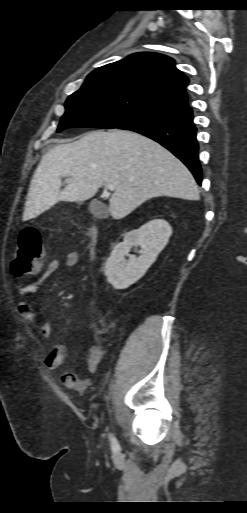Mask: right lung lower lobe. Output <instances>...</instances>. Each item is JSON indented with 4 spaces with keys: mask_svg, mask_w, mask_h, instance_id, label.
Returning <instances> with one entry per match:
<instances>
[{
    "mask_svg": "<svg viewBox=\"0 0 247 513\" xmlns=\"http://www.w3.org/2000/svg\"><path fill=\"white\" fill-rule=\"evenodd\" d=\"M118 129L131 130L145 135L171 151L192 172L201 185V166L198 161L196 127L192 108L185 106L167 110L158 115L138 119Z\"/></svg>",
    "mask_w": 247,
    "mask_h": 513,
    "instance_id": "right-lung-lower-lobe-1",
    "label": "right lung lower lobe"
}]
</instances>
